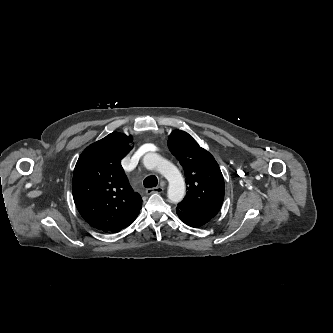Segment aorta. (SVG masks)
Segmentation results:
<instances>
[{
  "label": "aorta",
  "instance_id": "1",
  "mask_svg": "<svg viewBox=\"0 0 333 333\" xmlns=\"http://www.w3.org/2000/svg\"><path fill=\"white\" fill-rule=\"evenodd\" d=\"M147 168L156 169L168 181V198L174 203L181 201L185 195V183L179 170L171 163L162 160L156 153H148L143 158Z\"/></svg>",
  "mask_w": 333,
  "mask_h": 333
}]
</instances>
